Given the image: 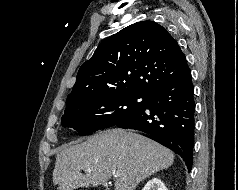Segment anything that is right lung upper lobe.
I'll use <instances>...</instances> for the list:
<instances>
[{"label": "right lung upper lobe", "mask_w": 238, "mask_h": 190, "mask_svg": "<svg viewBox=\"0 0 238 190\" xmlns=\"http://www.w3.org/2000/svg\"><path fill=\"white\" fill-rule=\"evenodd\" d=\"M177 41L153 21L134 23L103 40L80 67L66 108L83 95L149 96L187 68Z\"/></svg>", "instance_id": "1"}]
</instances>
